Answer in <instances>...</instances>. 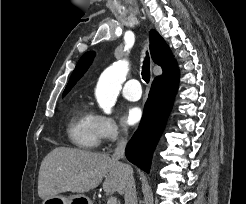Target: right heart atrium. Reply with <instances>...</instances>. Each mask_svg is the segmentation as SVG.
I'll return each mask as SVG.
<instances>
[{
  "mask_svg": "<svg viewBox=\"0 0 246 204\" xmlns=\"http://www.w3.org/2000/svg\"><path fill=\"white\" fill-rule=\"evenodd\" d=\"M100 139L115 142L126 136V127L116 118L109 115H97Z\"/></svg>",
  "mask_w": 246,
  "mask_h": 204,
  "instance_id": "obj_1",
  "label": "right heart atrium"
}]
</instances>
